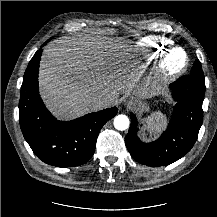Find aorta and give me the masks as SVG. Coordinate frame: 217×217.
<instances>
[{"instance_id":"aorta-1","label":"aorta","mask_w":217,"mask_h":217,"mask_svg":"<svg viewBox=\"0 0 217 217\" xmlns=\"http://www.w3.org/2000/svg\"><path fill=\"white\" fill-rule=\"evenodd\" d=\"M113 124L117 130L123 131L129 127V119L126 115H118L114 118Z\"/></svg>"}]
</instances>
